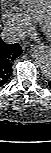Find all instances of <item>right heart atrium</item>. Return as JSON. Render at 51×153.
Instances as JSON below:
<instances>
[{
    "mask_svg": "<svg viewBox=\"0 0 51 153\" xmlns=\"http://www.w3.org/2000/svg\"><path fill=\"white\" fill-rule=\"evenodd\" d=\"M2 19L7 28L18 37L24 36L32 28L31 21L18 8L5 9Z\"/></svg>",
    "mask_w": 51,
    "mask_h": 153,
    "instance_id": "1",
    "label": "right heart atrium"
}]
</instances>
